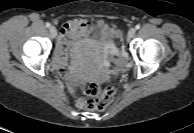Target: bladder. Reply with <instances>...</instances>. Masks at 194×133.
Here are the masks:
<instances>
[{
  "instance_id": "bladder-1",
  "label": "bladder",
  "mask_w": 194,
  "mask_h": 133,
  "mask_svg": "<svg viewBox=\"0 0 194 133\" xmlns=\"http://www.w3.org/2000/svg\"><path fill=\"white\" fill-rule=\"evenodd\" d=\"M89 37L107 53H112L116 49V42L113 34L104 26H96L93 28L89 33Z\"/></svg>"
}]
</instances>
